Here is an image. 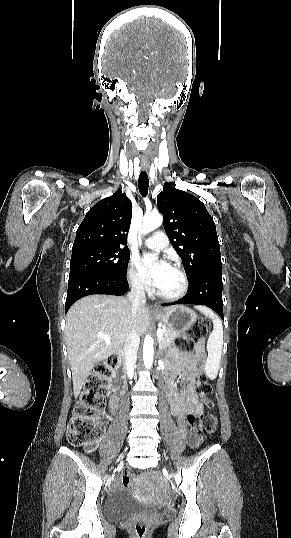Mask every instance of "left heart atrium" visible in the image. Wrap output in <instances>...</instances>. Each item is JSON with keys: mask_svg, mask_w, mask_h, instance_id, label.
Returning <instances> with one entry per match:
<instances>
[{"mask_svg": "<svg viewBox=\"0 0 291 538\" xmlns=\"http://www.w3.org/2000/svg\"><path fill=\"white\" fill-rule=\"evenodd\" d=\"M169 268V264L163 259L153 263L150 255L143 256L139 262V269L142 276L156 287Z\"/></svg>", "mask_w": 291, "mask_h": 538, "instance_id": "left-heart-atrium-1", "label": "left heart atrium"}]
</instances>
